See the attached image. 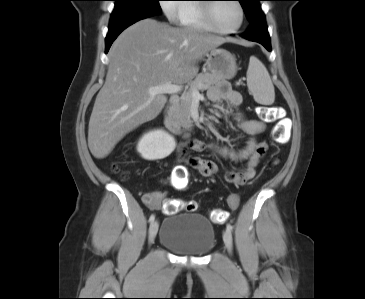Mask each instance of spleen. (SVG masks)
I'll list each match as a JSON object with an SVG mask.
<instances>
[{"instance_id":"3e777b00","label":"spleen","mask_w":365,"mask_h":299,"mask_svg":"<svg viewBox=\"0 0 365 299\" xmlns=\"http://www.w3.org/2000/svg\"><path fill=\"white\" fill-rule=\"evenodd\" d=\"M247 86L254 100L263 105H271L275 100L274 86L264 64L251 56L247 70Z\"/></svg>"}]
</instances>
